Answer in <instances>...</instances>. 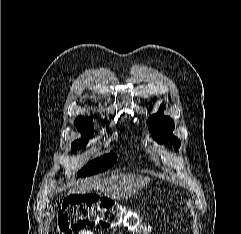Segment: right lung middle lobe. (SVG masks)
Returning <instances> with one entry per match:
<instances>
[{
  "label": "right lung middle lobe",
  "instance_id": "obj_1",
  "mask_svg": "<svg viewBox=\"0 0 241 234\" xmlns=\"http://www.w3.org/2000/svg\"><path fill=\"white\" fill-rule=\"evenodd\" d=\"M83 134V139L76 140L72 143V150H79L81 148H84L88 142L87 138L92 137L93 133L92 131H81ZM117 160V155L115 154H107L105 156H102L100 158H97L93 160L92 162L87 163L85 167H83L79 172H77V176L79 177H86L90 176L99 172H102L109 167L113 166L114 163Z\"/></svg>",
  "mask_w": 241,
  "mask_h": 234
}]
</instances>
